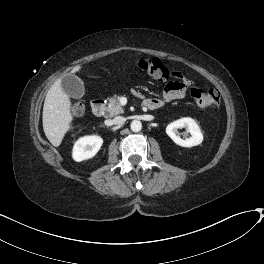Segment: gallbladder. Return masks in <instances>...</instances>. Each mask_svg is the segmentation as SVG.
Masks as SVG:
<instances>
[{"label": "gallbladder", "mask_w": 264, "mask_h": 264, "mask_svg": "<svg viewBox=\"0 0 264 264\" xmlns=\"http://www.w3.org/2000/svg\"><path fill=\"white\" fill-rule=\"evenodd\" d=\"M63 90L72 98L79 99L85 94L83 81L75 75H67L62 79Z\"/></svg>", "instance_id": "1"}]
</instances>
